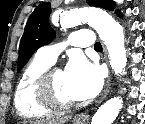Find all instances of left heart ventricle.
<instances>
[{
	"label": "left heart ventricle",
	"instance_id": "b2bd125f",
	"mask_svg": "<svg viewBox=\"0 0 145 124\" xmlns=\"http://www.w3.org/2000/svg\"><path fill=\"white\" fill-rule=\"evenodd\" d=\"M53 83H54L56 92L61 99L66 100V101L75 100L68 90L65 71L57 69L53 75Z\"/></svg>",
	"mask_w": 145,
	"mask_h": 124
}]
</instances>
